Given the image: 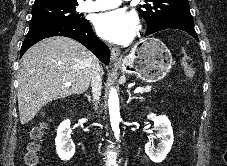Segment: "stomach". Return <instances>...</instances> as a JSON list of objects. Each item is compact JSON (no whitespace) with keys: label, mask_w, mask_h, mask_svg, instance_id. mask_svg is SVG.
Segmentation results:
<instances>
[{"label":"stomach","mask_w":227,"mask_h":166,"mask_svg":"<svg viewBox=\"0 0 227 166\" xmlns=\"http://www.w3.org/2000/svg\"><path fill=\"white\" fill-rule=\"evenodd\" d=\"M171 67L169 49L156 38H146L136 43L120 65L123 73L135 75L149 83L163 79Z\"/></svg>","instance_id":"0dacf381"}]
</instances>
